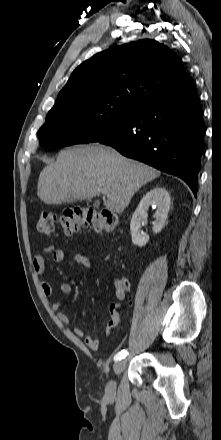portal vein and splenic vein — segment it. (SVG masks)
I'll return each instance as SVG.
<instances>
[{
  "instance_id": "obj_1",
  "label": "portal vein and splenic vein",
  "mask_w": 221,
  "mask_h": 440,
  "mask_svg": "<svg viewBox=\"0 0 221 440\" xmlns=\"http://www.w3.org/2000/svg\"><path fill=\"white\" fill-rule=\"evenodd\" d=\"M101 193L108 196L106 191H102Z\"/></svg>"
}]
</instances>
